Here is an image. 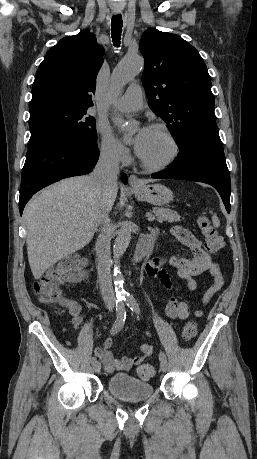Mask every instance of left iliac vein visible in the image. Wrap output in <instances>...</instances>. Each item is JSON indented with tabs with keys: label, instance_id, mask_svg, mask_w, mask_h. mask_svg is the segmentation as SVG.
Masks as SVG:
<instances>
[{
	"label": "left iliac vein",
	"instance_id": "4c4485c4",
	"mask_svg": "<svg viewBox=\"0 0 257 459\" xmlns=\"http://www.w3.org/2000/svg\"><path fill=\"white\" fill-rule=\"evenodd\" d=\"M160 368H161L162 372H166L167 371V361L166 360H161L160 361Z\"/></svg>",
	"mask_w": 257,
	"mask_h": 459
}]
</instances>
